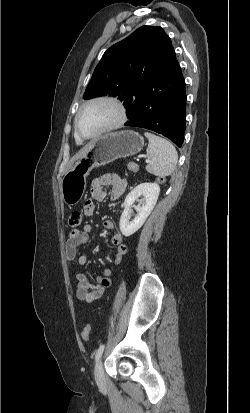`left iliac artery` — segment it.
I'll use <instances>...</instances> for the list:
<instances>
[{
  "instance_id": "1",
  "label": "left iliac artery",
  "mask_w": 250,
  "mask_h": 413,
  "mask_svg": "<svg viewBox=\"0 0 250 413\" xmlns=\"http://www.w3.org/2000/svg\"><path fill=\"white\" fill-rule=\"evenodd\" d=\"M104 345H101L97 351H96V355H95V361L97 362L100 358V356L102 355L103 351H104Z\"/></svg>"
}]
</instances>
